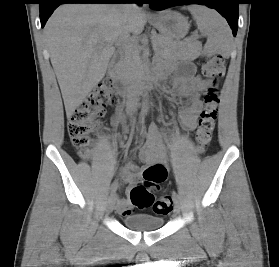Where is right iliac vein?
Instances as JSON below:
<instances>
[{
    "instance_id": "obj_1",
    "label": "right iliac vein",
    "mask_w": 279,
    "mask_h": 267,
    "mask_svg": "<svg viewBox=\"0 0 279 267\" xmlns=\"http://www.w3.org/2000/svg\"><path fill=\"white\" fill-rule=\"evenodd\" d=\"M115 203H116V197H115V194H113L108 199V204H107L108 213L113 211Z\"/></svg>"
}]
</instances>
